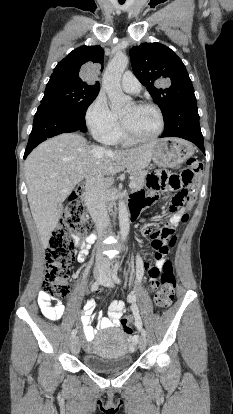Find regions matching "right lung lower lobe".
<instances>
[{
	"mask_svg": "<svg viewBox=\"0 0 233 414\" xmlns=\"http://www.w3.org/2000/svg\"><path fill=\"white\" fill-rule=\"evenodd\" d=\"M85 117L53 104H41L34 116L33 129L24 159L42 141L67 132H86Z\"/></svg>",
	"mask_w": 233,
	"mask_h": 414,
	"instance_id": "right-lung-lower-lobe-1",
	"label": "right lung lower lobe"
}]
</instances>
